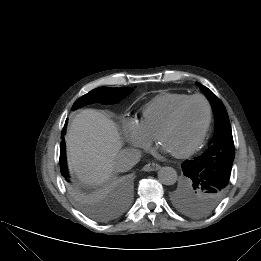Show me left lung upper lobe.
<instances>
[{"label": "left lung upper lobe", "instance_id": "left-lung-upper-lobe-1", "mask_svg": "<svg viewBox=\"0 0 261 261\" xmlns=\"http://www.w3.org/2000/svg\"><path fill=\"white\" fill-rule=\"evenodd\" d=\"M211 103L215 118V134L208 150L194 158L201 175L184 178L173 193V202L182 212L191 216L211 213L224 198L234 160V142L227 111L221 100L207 87L196 82Z\"/></svg>", "mask_w": 261, "mask_h": 261}]
</instances>
